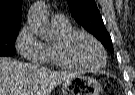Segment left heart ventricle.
Here are the masks:
<instances>
[{"instance_id":"left-heart-ventricle-1","label":"left heart ventricle","mask_w":135,"mask_h":95,"mask_svg":"<svg viewBox=\"0 0 135 95\" xmlns=\"http://www.w3.org/2000/svg\"><path fill=\"white\" fill-rule=\"evenodd\" d=\"M68 57L74 62L94 67L102 62V55L97 45L85 36H78L67 49Z\"/></svg>"}]
</instances>
